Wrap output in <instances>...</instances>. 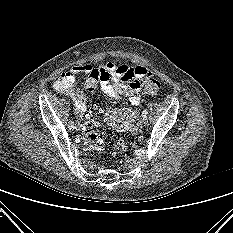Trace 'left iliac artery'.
I'll return each mask as SVG.
<instances>
[{
  "label": "left iliac artery",
  "instance_id": "44dca946",
  "mask_svg": "<svg viewBox=\"0 0 233 233\" xmlns=\"http://www.w3.org/2000/svg\"><path fill=\"white\" fill-rule=\"evenodd\" d=\"M142 116L145 117V118L147 117V111L146 110L142 111Z\"/></svg>",
  "mask_w": 233,
  "mask_h": 233
}]
</instances>
